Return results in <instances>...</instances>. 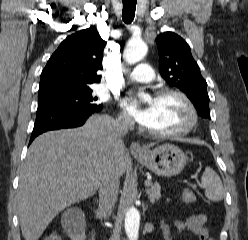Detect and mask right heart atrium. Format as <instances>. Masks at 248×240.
Here are the masks:
<instances>
[{
	"label": "right heart atrium",
	"mask_w": 248,
	"mask_h": 240,
	"mask_svg": "<svg viewBox=\"0 0 248 240\" xmlns=\"http://www.w3.org/2000/svg\"><path fill=\"white\" fill-rule=\"evenodd\" d=\"M119 122L124 126H131V120L126 114H120L118 117Z\"/></svg>",
	"instance_id": "d8ad5b80"
}]
</instances>
